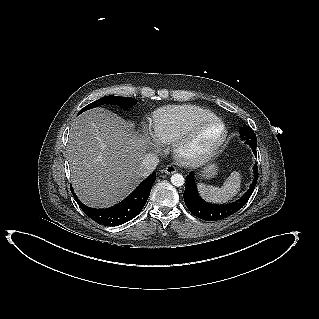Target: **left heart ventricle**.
Returning a JSON list of instances; mask_svg holds the SVG:
<instances>
[{"label":"left heart ventricle","mask_w":319,"mask_h":319,"mask_svg":"<svg viewBox=\"0 0 319 319\" xmlns=\"http://www.w3.org/2000/svg\"><path fill=\"white\" fill-rule=\"evenodd\" d=\"M220 134V128L217 125L208 127L200 135L196 143L193 145V150L198 151L205 148L208 144L214 141Z\"/></svg>","instance_id":"b2bd125f"}]
</instances>
